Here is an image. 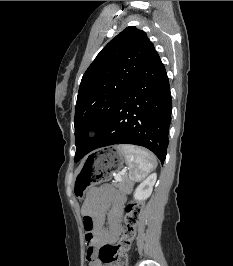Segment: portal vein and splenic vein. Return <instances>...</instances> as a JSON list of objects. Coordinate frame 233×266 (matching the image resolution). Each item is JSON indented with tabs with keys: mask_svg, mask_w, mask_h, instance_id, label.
<instances>
[{
	"mask_svg": "<svg viewBox=\"0 0 233 266\" xmlns=\"http://www.w3.org/2000/svg\"><path fill=\"white\" fill-rule=\"evenodd\" d=\"M126 172V170H123L122 172L118 173L116 176H115V180L116 181H122V175H124Z\"/></svg>",
	"mask_w": 233,
	"mask_h": 266,
	"instance_id": "18ae733b",
	"label": "portal vein and splenic vein"
}]
</instances>
